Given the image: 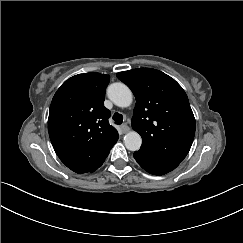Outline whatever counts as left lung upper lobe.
I'll return each mask as SVG.
<instances>
[{"label":"left lung upper lobe","mask_w":243,"mask_h":243,"mask_svg":"<svg viewBox=\"0 0 243 243\" xmlns=\"http://www.w3.org/2000/svg\"><path fill=\"white\" fill-rule=\"evenodd\" d=\"M135 95L132 128L142 137L140 150L180 163L195 135V118L182 87L165 73L140 68L117 73Z\"/></svg>","instance_id":"5c2ea615"}]
</instances>
